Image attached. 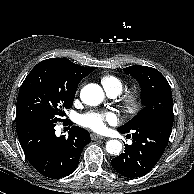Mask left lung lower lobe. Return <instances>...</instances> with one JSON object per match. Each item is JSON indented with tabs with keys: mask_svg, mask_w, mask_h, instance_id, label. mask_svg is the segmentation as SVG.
Returning a JSON list of instances; mask_svg holds the SVG:
<instances>
[{
	"mask_svg": "<svg viewBox=\"0 0 194 194\" xmlns=\"http://www.w3.org/2000/svg\"><path fill=\"white\" fill-rule=\"evenodd\" d=\"M173 120L174 116H160L138 121L130 130L132 145H125V152L112 159V167L130 179L146 175L157 164L168 144Z\"/></svg>",
	"mask_w": 194,
	"mask_h": 194,
	"instance_id": "1",
	"label": "left lung lower lobe"
}]
</instances>
